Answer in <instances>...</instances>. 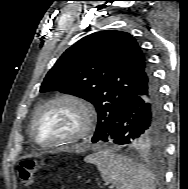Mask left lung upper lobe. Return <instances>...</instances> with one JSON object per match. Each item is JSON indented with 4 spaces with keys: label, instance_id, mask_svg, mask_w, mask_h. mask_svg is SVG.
Here are the masks:
<instances>
[{
    "label": "left lung upper lobe",
    "instance_id": "1",
    "mask_svg": "<svg viewBox=\"0 0 188 189\" xmlns=\"http://www.w3.org/2000/svg\"><path fill=\"white\" fill-rule=\"evenodd\" d=\"M153 77L149 63L134 37L122 31L87 35L57 60L40 92L59 90L91 102L98 113L92 142L115 123L134 92ZM163 135H144L135 148H160Z\"/></svg>",
    "mask_w": 188,
    "mask_h": 189
}]
</instances>
